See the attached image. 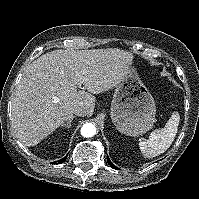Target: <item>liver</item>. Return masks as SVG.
Returning <instances> with one entry per match:
<instances>
[{
  "label": "liver",
  "mask_w": 199,
  "mask_h": 199,
  "mask_svg": "<svg viewBox=\"0 0 199 199\" xmlns=\"http://www.w3.org/2000/svg\"><path fill=\"white\" fill-rule=\"evenodd\" d=\"M133 64V55L117 48L54 50L25 70L12 100L17 138L34 146L83 106L92 116L96 98L114 86ZM84 86L85 90H78Z\"/></svg>",
  "instance_id": "6515ba94"
}]
</instances>
